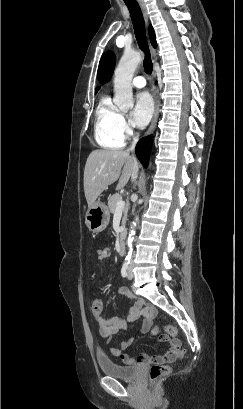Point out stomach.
Listing matches in <instances>:
<instances>
[{"instance_id":"stomach-1","label":"stomach","mask_w":243,"mask_h":409,"mask_svg":"<svg viewBox=\"0 0 243 409\" xmlns=\"http://www.w3.org/2000/svg\"><path fill=\"white\" fill-rule=\"evenodd\" d=\"M109 220V210L107 206L99 200L90 206L86 212L85 224L93 233L102 232L107 227Z\"/></svg>"}]
</instances>
